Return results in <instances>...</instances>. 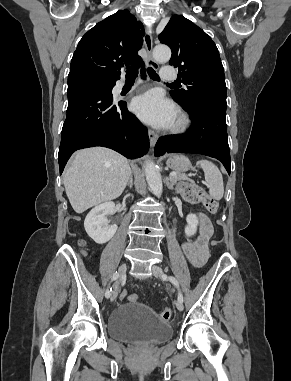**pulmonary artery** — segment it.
<instances>
[{
    "label": "pulmonary artery",
    "mask_w": 291,
    "mask_h": 381,
    "mask_svg": "<svg viewBox=\"0 0 291 381\" xmlns=\"http://www.w3.org/2000/svg\"><path fill=\"white\" fill-rule=\"evenodd\" d=\"M161 77L165 81H174L177 78V70L170 65H165L161 70ZM123 83L119 84V87H122Z\"/></svg>",
    "instance_id": "e3ab8cb5"
}]
</instances>
